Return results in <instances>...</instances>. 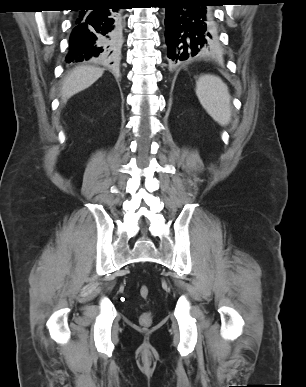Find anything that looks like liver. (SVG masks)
Returning <instances> with one entry per match:
<instances>
[{"label": "liver", "mask_w": 306, "mask_h": 387, "mask_svg": "<svg viewBox=\"0 0 306 387\" xmlns=\"http://www.w3.org/2000/svg\"><path fill=\"white\" fill-rule=\"evenodd\" d=\"M104 70L95 66H78L64 79L61 89V99L65 103L73 95L87 89L95 83Z\"/></svg>", "instance_id": "1"}]
</instances>
